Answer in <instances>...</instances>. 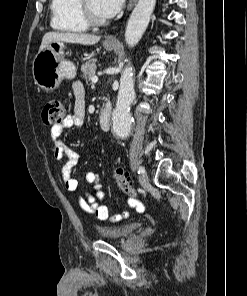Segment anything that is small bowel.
<instances>
[{"mask_svg":"<svg viewBox=\"0 0 247 296\" xmlns=\"http://www.w3.org/2000/svg\"><path fill=\"white\" fill-rule=\"evenodd\" d=\"M72 88L74 94L72 111L61 124L53 126L50 130V140L53 145L54 157L57 161H61L64 156L67 157V162L62 168V178L66 190L76 194L79 207L84 212L93 214L97 219L105 221L109 219V211L107 206L102 203L105 194L98 175L95 172H88L85 175L86 182L93 185V191L81 187L79 181L72 176V170L80 161L81 155L77 151L69 148L61 140V134L65 129L79 128L84 125L85 90L80 82H75ZM127 204L138 210L143 208V205L135 199H127ZM126 217H128V213L123 212L113 216L111 220L119 221Z\"/></svg>","mask_w":247,"mask_h":296,"instance_id":"obj_1","label":"small bowel"}]
</instances>
